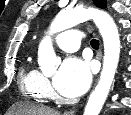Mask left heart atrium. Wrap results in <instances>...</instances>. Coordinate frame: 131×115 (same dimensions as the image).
I'll return each instance as SVG.
<instances>
[{
	"label": "left heart atrium",
	"instance_id": "1",
	"mask_svg": "<svg viewBox=\"0 0 131 115\" xmlns=\"http://www.w3.org/2000/svg\"><path fill=\"white\" fill-rule=\"evenodd\" d=\"M92 73L88 63L78 57H67L54 78V87L66 97H77L89 87Z\"/></svg>",
	"mask_w": 131,
	"mask_h": 115
}]
</instances>
